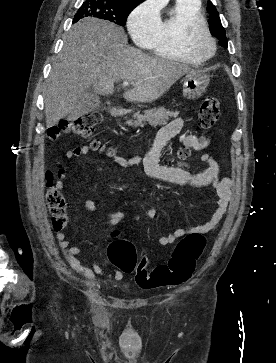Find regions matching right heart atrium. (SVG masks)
<instances>
[{"instance_id": "right-heart-atrium-1", "label": "right heart atrium", "mask_w": 276, "mask_h": 363, "mask_svg": "<svg viewBox=\"0 0 276 363\" xmlns=\"http://www.w3.org/2000/svg\"><path fill=\"white\" fill-rule=\"evenodd\" d=\"M160 22V6L157 1L145 0L130 13L127 26L136 43L147 45L155 37Z\"/></svg>"}]
</instances>
